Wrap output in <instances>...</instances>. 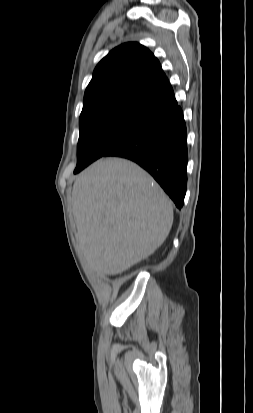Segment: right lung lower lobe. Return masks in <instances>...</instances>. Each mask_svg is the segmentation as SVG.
<instances>
[{
    "label": "right lung lower lobe",
    "mask_w": 253,
    "mask_h": 413,
    "mask_svg": "<svg viewBox=\"0 0 253 413\" xmlns=\"http://www.w3.org/2000/svg\"><path fill=\"white\" fill-rule=\"evenodd\" d=\"M105 156L130 159L161 185L182 208L187 184V132L182 109L177 106L156 117L145 130L126 140Z\"/></svg>",
    "instance_id": "1"
}]
</instances>
